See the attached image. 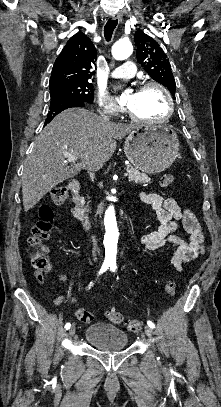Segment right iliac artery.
<instances>
[{"label":"right iliac artery","instance_id":"obj_1","mask_svg":"<svg viewBox=\"0 0 221 407\" xmlns=\"http://www.w3.org/2000/svg\"><path fill=\"white\" fill-rule=\"evenodd\" d=\"M109 266H110L109 264H105V263H104V264L102 265L100 271H99V274H102L103 272H105V271L109 268ZM91 286H93V283H92V282L89 284V288H90ZM70 326H71L70 323H66L65 329L68 330V329L70 328Z\"/></svg>","mask_w":221,"mask_h":407}]
</instances>
